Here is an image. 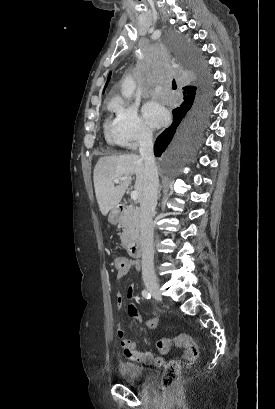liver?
<instances>
[{"mask_svg":"<svg viewBox=\"0 0 275 409\" xmlns=\"http://www.w3.org/2000/svg\"><path fill=\"white\" fill-rule=\"evenodd\" d=\"M136 174L135 186L140 202L143 196L145 164L139 154H120V156H101L94 168L93 180L95 194L102 215H108L111 209L117 207L126 192L132 178ZM128 176L114 186V178Z\"/></svg>","mask_w":275,"mask_h":409,"instance_id":"6515ba94","label":"liver"}]
</instances>
